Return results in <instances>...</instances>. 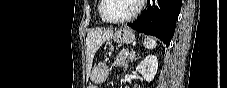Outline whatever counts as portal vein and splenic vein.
<instances>
[{
	"label": "portal vein and splenic vein",
	"mask_w": 227,
	"mask_h": 88,
	"mask_svg": "<svg viewBox=\"0 0 227 88\" xmlns=\"http://www.w3.org/2000/svg\"><path fill=\"white\" fill-rule=\"evenodd\" d=\"M124 55L128 56L129 55V51H125Z\"/></svg>",
	"instance_id": "18ae733b"
}]
</instances>
